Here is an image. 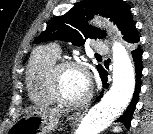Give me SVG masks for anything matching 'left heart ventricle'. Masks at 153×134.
I'll use <instances>...</instances> for the list:
<instances>
[{
    "label": "left heart ventricle",
    "mask_w": 153,
    "mask_h": 134,
    "mask_svg": "<svg viewBox=\"0 0 153 134\" xmlns=\"http://www.w3.org/2000/svg\"><path fill=\"white\" fill-rule=\"evenodd\" d=\"M60 89L62 95L72 101L84 98L89 91L87 76L78 69H65L60 77Z\"/></svg>",
    "instance_id": "obj_1"
}]
</instances>
